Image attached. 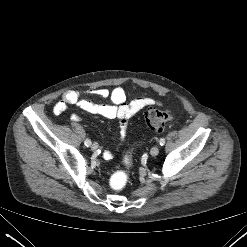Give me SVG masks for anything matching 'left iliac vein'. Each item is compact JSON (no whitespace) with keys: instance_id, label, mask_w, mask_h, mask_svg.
I'll return each mask as SVG.
<instances>
[{"instance_id":"4c4485c4","label":"left iliac vein","mask_w":247,"mask_h":247,"mask_svg":"<svg viewBox=\"0 0 247 247\" xmlns=\"http://www.w3.org/2000/svg\"><path fill=\"white\" fill-rule=\"evenodd\" d=\"M158 153H159V147L158 146H154V147L151 148L150 154L152 156H156V155H158Z\"/></svg>"}]
</instances>
